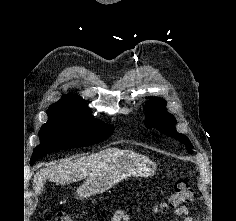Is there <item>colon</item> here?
Masks as SVG:
<instances>
[{
	"label": "colon",
	"mask_w": 236,
	"mask_h": 221,
	"mask_svg": "<svg viewBox=\"0 0 236 221\" xmlns=\"http://www.w3.org/2000/svg\"><path fill=\"white\" fill-rule=\"evenodd\" d=\"M196 198L194 189L185 181L178 180L175 182L171 193L167 199L160 204L162 210L179 209L187 204L192 203ZM55 221H74L73 218L65 212L57 214Z\"/></svg>",
	"instance_id": "5ec220e1"
}]
</instances>
